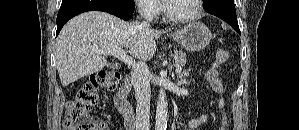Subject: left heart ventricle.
I'll return each mask as SVG.
<instances>
[{"mask_svg": "<svg viewBox=\"0 0 299 130\" xmlns=\"http://www.w3.org/2000/svg\"><path fill=\"white\" fill-rule=\"evenodd\" d=\"M194 5V0H173L168 2V9L170 14L181 16L190 13Z\"/></svg>", "mask_w": 299, "mask_h": 130, "instance_id": "1", "label": "left heart ventricle"}]
</instances>
